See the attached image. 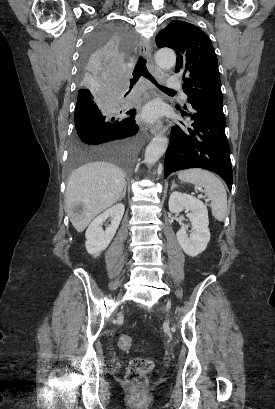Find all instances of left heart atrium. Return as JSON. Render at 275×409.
Wrapping results in <instances>:
<instances>
[{"label":"left heart atrium","mask_w":275,"mask_h":409,"mask_svg":"<svg viewBox=\"0 0 275 409\" xmlns=\"http://www.w3.org/2000/svg\"><path fill=\"white\" fill-rule=\"evenodd\" d=\"M157 115V111L154 108H150L146 112V116L149 118H153Z\"/></svg>","instance_id":"obj_1"}]
</instances>
